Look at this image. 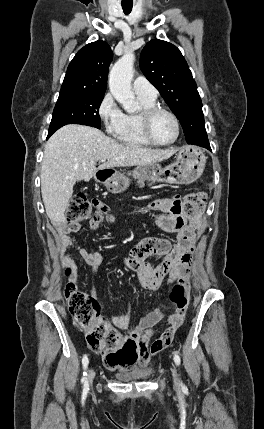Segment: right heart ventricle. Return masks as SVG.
Segmentation results:
<instances>
[{"instance_id":"1","label":"right heart ventricle","mask_w":264,"mask_h":429,"mask_svg":"<svg viewBox=\"0 0 264 429\" xmlns=\"http://www.w3.org/2000/svg\"><path fill=\"white\" fill-rule=\"evenodd\" d=\"M138 100L140 102L141 110L156 105V98H148L144 96H138ZM139 113H126L123 115V120L121 126L115 137L120 142L129 145L136 146H149L151 143L144 137L141 126Z\"/></svg>"}]
</instances>
